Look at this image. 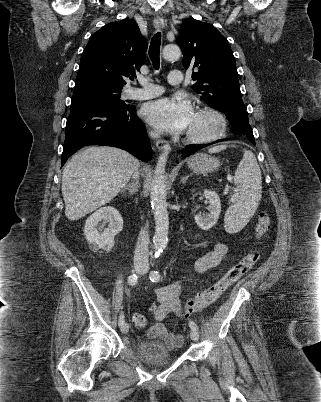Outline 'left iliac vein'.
<instances>
[{"label":"left iliac vein","instance_id":"obj_1","mask_svg":"<svg viewBox=\"0 0 321 402\" xmlns=\"http://www.w3.org/2000/svg\"><path fill=\"white\" fill-rule=\"evenodd\" d=\"M144 273H145V270L141 272V274H144ZM190 338H191L193 341H198V340H199V333H198V331L192 329L191 332H190Z\"/></svg>","mask_w":321,"mask_h":402}]
</instances>
